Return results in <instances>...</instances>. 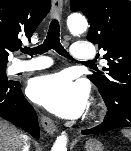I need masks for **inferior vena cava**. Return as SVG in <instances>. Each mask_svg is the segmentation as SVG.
<instances>
[{"instance_id": "obj_1", "label": "inferior vena cava", "mask_w": 131, "mask_h": 151, "mask_svg": "<svg viewBox=\"0 0 131 151\" xmlns=\"http://www.w3.org/2000/svg\"><path fill=\"white\" fill-rule=\"evenodd\" d=\"M19 151H29L28 137L24 134L21 135V143Z\"/></svg>"}]
</instances>
